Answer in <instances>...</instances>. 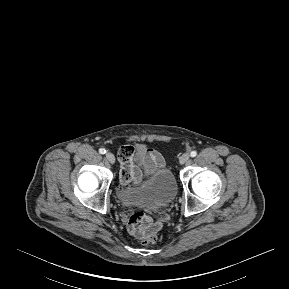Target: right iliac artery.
<instances>
[{
  "mask_svg": "<svg viewBox=\"0 0 289 289\" xmlns=\"http://www.w3.org/2000/svg\"><path fill=\"white\" fill-rule=\"evenodd\" d=\"M99 153H100V154H105V153H106V150H105L104 148H100V149H99Z\"/></svg>",
  "mask_w": 289,
  "mask_h": 289,
  "instance_id": "obj_1",
  "label": "right iliac artery"
}]
</instances>
